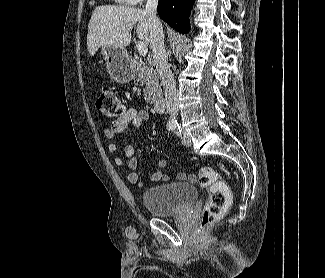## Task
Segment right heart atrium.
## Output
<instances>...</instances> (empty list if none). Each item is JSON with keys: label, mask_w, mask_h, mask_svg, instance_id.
Wrapping results in <instances>:
<instances>
[{"label": "right heart atrium", "mask_w": 325, "mask_h": 278, "mask_svg": "<svg viewBox=\"0 0 325 278\" xmlns=\"http://www.w3.org/2000/svg\"><path fill=\"white\" fill-rule=\"evenodd\" d=\"M144 0H128V2L130 3V4H140V3H142Z\"/></svg>", "instance_id": "right-heart-atrium-1"}]
</instances>
